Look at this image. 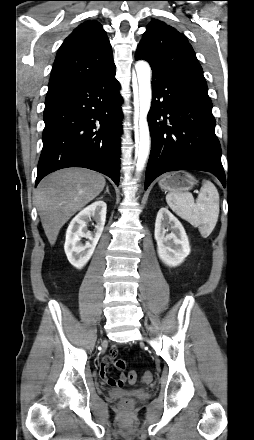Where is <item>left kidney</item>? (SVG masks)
Instances as JSON below:
<instances>
[{
    "instance_id": "obj_1",
    "label": "left kidney",
    "mask_w": 254,
    "mask_h": 440,
    "mask_svg": "<svg viewBox=\"0 0 254 440\" xmlns=\"http://www.w3.org/2000/svg\"><path fill=\"white\" fill-rule=\"evenodd\" d=\"M168 230L171 233H167ZM154 237L158 256L169 267L180 265L190 253L188 237L182 224L165 207L157 213Z\"/></svg>"
}]
</instances>
